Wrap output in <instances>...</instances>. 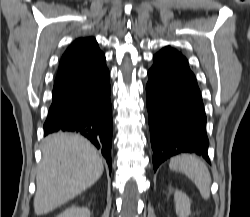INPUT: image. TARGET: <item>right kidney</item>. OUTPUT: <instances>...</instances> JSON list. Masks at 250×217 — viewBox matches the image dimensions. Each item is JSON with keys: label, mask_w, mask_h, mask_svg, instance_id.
Segmentation results:
<instances>
[{"label": "right kidney", "mask_w": 250, "mask_h": 217, "mask_svg": "<svg viewBox=\"0 0 250 217\" xmlns=\"http://www.w3.org/2000/svg\"><path fill=\"white\" fill-rule=\"evenodd\" d=\"M57 217H90V210L87 207L72 206L64 210Z\"/></svg>", "instance_id": "right-kidney-1"}]
</instances>
